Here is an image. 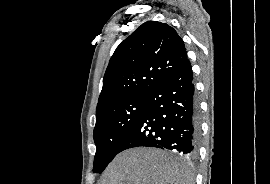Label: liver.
<instances>
[{
  "instance_id": "1",
  "label": "liver",
  "mask_w": 270,
  "mask_h": 184,
  "mask_svg": "<svg viewBox=\"0 0 270 184\" xmlns=\"http://www.w3.org/2000/svg\"><path fill=\"white\" fill-rule=\"evenodd\" d=\"M99 184H191V172L164 151L140 147L118 154Z\"/></svg>"
}]
</instances>
